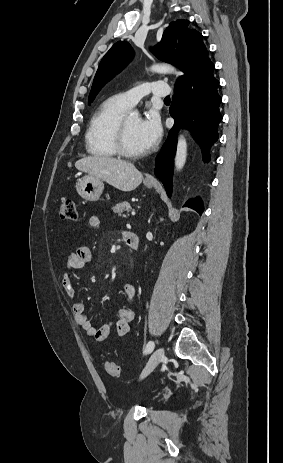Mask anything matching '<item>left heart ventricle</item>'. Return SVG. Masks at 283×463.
Wrapping results in <instances>:
<instances>
[{"mask_svg": "<svg viewBox=\"0 0 283 463\" xmlns=\"http://www.w3.org/2000/svg\"><path fill=\"white\" fill-rule=\"evenodd\" d=\"M139 118L137 116L126 117L125 140L129 150L133 152H144V148L139 135Z\"/></svg>", "mask_w": 283, "mask_h": 463, "instance_id": "b2bd125f", "label": "left heart ventricle"}]
</instances>
